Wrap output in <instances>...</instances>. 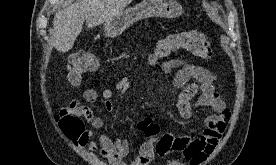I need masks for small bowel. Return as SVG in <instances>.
Instances as JSON below:
<instances>
[{
    "mask_svg": "<svg viewBox=\"0 0 276 165\" xmlns=\"http://www.w3.org/2000/svg\"><path fill=\"white\" fill-rule=\"evenodd\" d=\"M161 69L164 73H170L178 69L173 86L180 90L177 108L183 119H190L193 111L198 107H210L211 115L204 118V129L199 137L174 136L166 133L155 140L144 142L138 149L134 159L127 163L124 159L130 153V144L127 140H113L105 134L94 138L93 132L84 128V123L93 128L103 126L102 119L96 117L92 110L83 106L80 100L74 99L66 107L59 111V117H75L82 121L83 130L77 139L80 146H86L107 160L109 165H149L155 154L164 158L168 155L179 154L188 165H202L220 142L225 129L230 121L231 112L216 91L217 78L215 74L205 67L188 62L180 58H171L162 62ZM115 90L123 93L131 88L128 78H120ZM105 107L108 111L114 110L112 97L114 90L105 88L101 91ZM99 98V93L93 88L83 92V99L88 103H94Z\"/></svg>",
    "mask_w": 276,
    "mask_h": 165,
    "instance_id": "obj_1",
    "label": "small bowel"
}]
</instances>
